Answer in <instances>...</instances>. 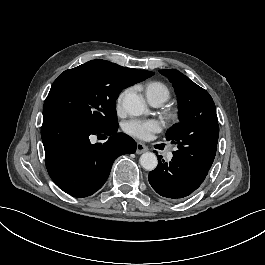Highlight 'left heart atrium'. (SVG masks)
Segmentation results:
<instances>
[{
  "label": "left heart atrium",
  "mask_w": 265,
  "mask_h": 265,
  "mask_svg": "<svg viewBox=\"0 0 265 265\" xmlns=\"http://www.w3.org/2000/svg\"><path fill=\"white\" fill-rule=\"evenodd\" d=\"M126 132L138 139L148 140L152 134L161 130V124L157 120H138L134 119L127 122Z\"/></svg>",
  "instance_id": "1"
}]
</instances>
